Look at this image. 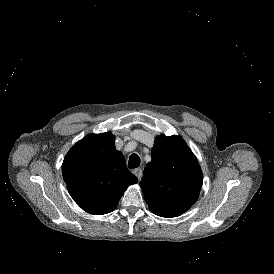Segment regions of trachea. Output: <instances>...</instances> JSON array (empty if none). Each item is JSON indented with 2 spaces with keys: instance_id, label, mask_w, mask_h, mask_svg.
Returning <instances> with one entry per match:
<instances>
[{
  "instance_id": "obj_1",
  "label": "trachea",
  "mask_w": 274,
  "mask_h": 274,
  "mask_svg": "<svg viewBox=\"0 0 274 274\" xmlns=\"http://www.w3.org/2000/svg\"><path fill=\"white\" fill-rule=\"evenodd\" d=\"M141 163L140 157L137 154H132L129 157V161H128V167L130 169H134L137 168Z\"/></svg>"
}]
</instances>
